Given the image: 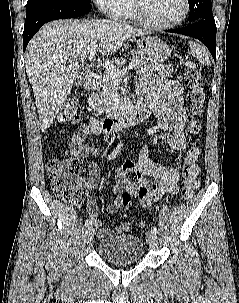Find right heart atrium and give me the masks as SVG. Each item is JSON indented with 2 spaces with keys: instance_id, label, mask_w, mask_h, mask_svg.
<instances>
[{
  "instance_id": "right-heart-atrium-1",
  "label": "right heart atrium",
  "mask_w": 239,
  "mask_h": 303,
  "mask_svg": "<svg viewBox=\"0 0 239 303\" xmlns=\"http://www.w3.org/2000/svg\"><path fill=\"white\" fill-rule=\"evenodd\" d=\"M97 6L109 17L118 19L127 9L128 0H94Z\"/></svg>"
}]
</instances>
